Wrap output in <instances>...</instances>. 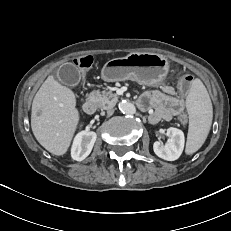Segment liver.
<instances>
[{
  "label": "liver",
  "mask_w": 231,
  "mask_h": 231,
  "mask_svg": "<svg viewBox=\"0 0 231 231\" xmlns=\"http://www.w3.org/2000/svg\"><path fill=\"white\" fill-rule=\"evenodd\" d=\"M79 119L73 91L48 76L32 103L31 128L37 141L50 153L64 155Z\"/></svg>",
  "instance_id": "1"
}]
</instances>
